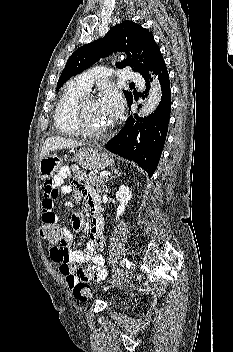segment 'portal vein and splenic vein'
I'll return each instance as SVG.
<instances>
[{"instance_id":"obj_1","label":"portal vein and splenic vein","mask_w":233,"mask_h":352,"mask_svg":"<svg viewBox=\"0 0 233 352\" xmlns=\"http://www.w3.org/2000/svg\"><path fill=\"white\" fill-rule=\"evenodd\" d=\"M108 175H109L108 172H102V173H100L98 176H99V177H107Z\"/></svg>"}]
</instances>
